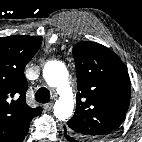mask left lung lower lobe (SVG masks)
Returning a JSON list of instances; mask_svg holds the SVG:
<instances>
[{"instance_id": "obj_1", "label": "left lung lower lobe", "mask_w": 142, "mask_h": 142, "mask_svg": "<svg viewBox=\"0 0 142 142\" xmlns=\"http://www.w3.org/2000/svg\"><path fill=\"white\" fill-rule=\"evenodd\" d=\"M64 137L69 142H77V140L64 128Z\"/></svg>"}]
</instances>
